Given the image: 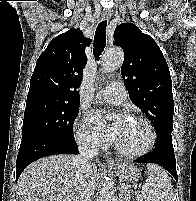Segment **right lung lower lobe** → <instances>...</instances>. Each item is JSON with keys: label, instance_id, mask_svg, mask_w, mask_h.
<instances>
[{"label": "right lung lower lobe", "instance_id": "obj_1", "mask_svg": "<svg viewBox=\"0 0 196 201\" xmlns=\"http://www.w3.org/2000/svg\"><path fill=\"white\" fill-rule=\"evenodd\" d=\"M75 139L52 134H34L22 138L16 161V180L35 160L54 154H78Z\"/></svg>", "mask_w": 196, "mask_h": 201}]
</instances>
